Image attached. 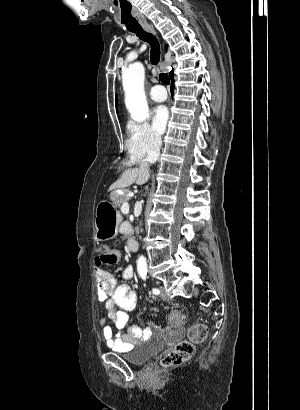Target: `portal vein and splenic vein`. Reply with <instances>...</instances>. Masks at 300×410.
<instances>
[{"label":"portal vein and splenic vein","mask_w":300,"mask_h":410,"mask_svg":"<svg viewBox=\"0 0 300 410\" xmlns=\"http://www.w3.org/2000/svg\"><path fill=\"white\" fill-rule=\"evenodd\" d=\"M121 211H122V212H126V213L129 212V204H128V202H124V203L122 204Z\"/></svg>","instance_id":"obj_1"}]
</instances>
